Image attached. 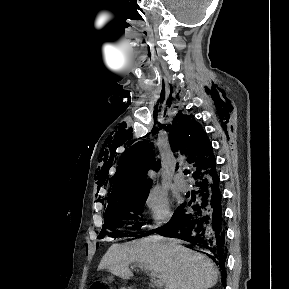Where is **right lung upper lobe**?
Here are the masks:
<instances>
[{
	"mask_svg": "<svg viewBox=\"0 0 289 289\" xmlns=\"http://www.w3.org/2000/svg\"><path fill=\"white\" fill-rule=\"evenodd\" d=\"M170 145L173 152L188 155L187 162L194 167L195 180L215 169V158L211 143L200 123L193 116H179L171 125ZM160 162L155 158L150 143L138 142L130 147L121 159L113 180V187L107 198L108 206L131 196L149 193L151 184L145 177L152 166L159 170Z\"/></svg>",
	"mask_w": 289,
	"mask_h": 289,
	"instance_id": "1",
	"label": "right lung upper lobe"
}]
</instances>
